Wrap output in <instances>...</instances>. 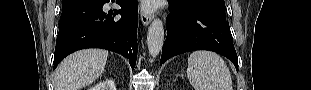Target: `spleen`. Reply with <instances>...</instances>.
<instances>
[{
    "label": "spleen",
    "instance_id": "3e777b00",
    "mask_svg": "<svg viewBox=\"0 0 311 90\" xmlns=\"http://www.w3.org/2000/svg\"><path fill=\"white\" fill-rule=\"evenodd\" d=\"M187 76L194 90H232L229 68L214 52H193L188 58Z\"/></svg>",
    "mask_w": 311,
    "mask_h": 90
}]
</instances>
